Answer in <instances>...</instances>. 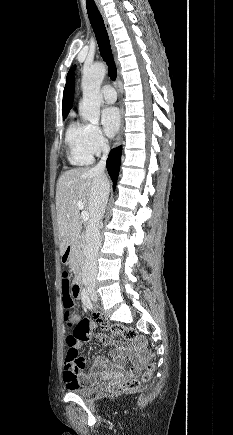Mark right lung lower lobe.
<instances>
[{
	"label": "right lung lower lobe",
	"instance_id": "98d812e1",
	"mask_svg": "<svg viewBox=\"0 0 233 435\" xmlns=\"http://www.w3.org/2000/svg\"><path fill=\"white\" fill-rule=\"evenodd\" d=\"M122 146L113 149L107 159L106 167L107 171L113 181V189L115 190L116 182L119 174L120 162H121Z\"/></svg>",
	"mask_w": 233,
	"mask_h": 435
}]
</instances>
